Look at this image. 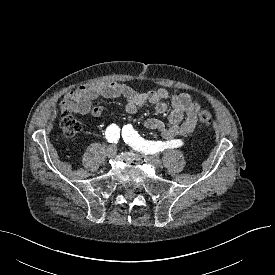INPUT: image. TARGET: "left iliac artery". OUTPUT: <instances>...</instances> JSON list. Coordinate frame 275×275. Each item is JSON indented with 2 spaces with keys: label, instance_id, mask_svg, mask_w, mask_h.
Returning a JSON list of instances; mask_svg holds the SVG:
<instances>
[{
  "label": "left iliac artery",
  "instance_id": "44dca946",
  "mask_svg": "<svg viewBox=\"0 0 275 275\" xmlns=\"http://www.w3.org/2000/svg\"><path fill=\"white\" fill-rule=\"evenodd\" d=\"M122 136L129 145L138 151L146 154H155L165 149L177 148L183 145V141L179 139L171 141H148L140 137L131 124H127L122 129Z\"/></svg>",
  "mask_w": 275,
  "mask_h": 275
}]
</instances>
